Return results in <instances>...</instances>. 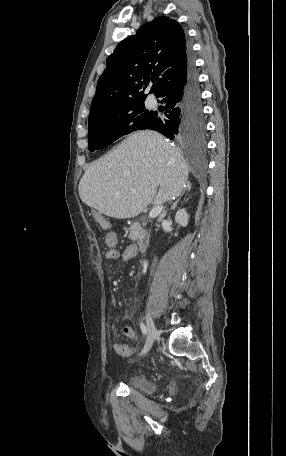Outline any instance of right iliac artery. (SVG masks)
Wrapping results in <instances>:
<instances>
[{
	"instance_id": "1",
	"label": "right iliac artery",
	"mask_w": 286,
	"mask_h": 456,
	"mask_svg": "<svg viewBox=\"0 0 286 456\" xmlns=\"http://www.w3.org/2000/svg\"><path fill=\"white\" fill-rule=\"evenodd\" d=\"M140 328H141V331L144 335L147 334V328L146 326L143 324V323H140Z\"/></svg>"
}]
</instances>
